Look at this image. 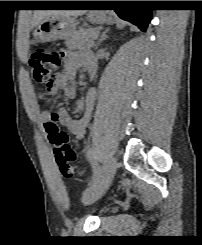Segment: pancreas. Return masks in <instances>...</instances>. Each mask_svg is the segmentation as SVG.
<instances>
[{"instance_id":"obj_1","label":"pancreas","mask_w":202,"mask_h":245,"mask_svg":"<svg viewBox=\"0 0 202 245\" xmlns=\"http://www.w3.org/2000/svg\"><path fill=\"white\" fill-rule=\"evenodd\" d=\"M94 37V30L80 29L76 31L70 38L66 39V46L73 49H86L93 45L91 44Z\"/></svg>"}]
</instances>
